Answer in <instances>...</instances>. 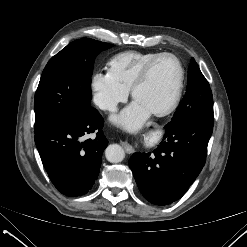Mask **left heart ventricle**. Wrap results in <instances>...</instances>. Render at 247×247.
Segmentation results:
<instances>
[{
    "instance_id": "left-heart-ventricle-1",
    "label": "left heart ventricle",
    "mask_w": 247,
    "mask_h": 247,
    "mask_svg": "<svg viewBox=\"0 0 247 247\" xmlns=\"http://www.w3.org/2000/svg\"><path fill=\"white\" fill-rule=\"evenodd\" d=\"M178 79V67L170 57L160 59L146 81L137 89L135 100L149 111L162 108L171 99Z\"/></svg>"
}]
</instances>
